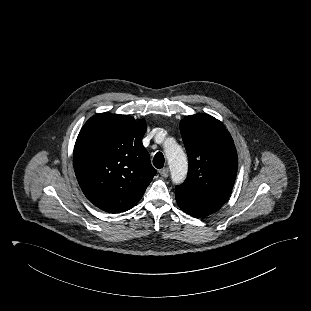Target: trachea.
<instances>
[{"label":"trachea","mask_w":311,"mask_h":311,"mask_svg":"<svg viewBox=\"0 0 311 311\" xmlns=\"http://www.w3.org/2000/svg\"><path fill=\"white\" fill-rule=\"evenodd\" d=\"M164 156L161 152H157L153 159V164L157 169H161L164 166Z\"/></svg>","instance_id":"1"}]
</instances>
